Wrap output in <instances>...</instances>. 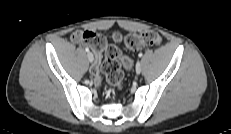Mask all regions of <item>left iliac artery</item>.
<instances>
[{"label": "left iliac artery", "mask_w": 231, "mask_h": 134, "mask_svg": "<svg viewBox=\"0 0 231 134\" xmlns=\"http://www.w3.org/2000/svg\"><path fill=\"white\" fill-rule=\"evenodd\" d=\"M138 56H139V57H142V56H143V54H142V53H139V54H138Z\"/></svg>", "instance_id": "44dca946"}]
</instances>
